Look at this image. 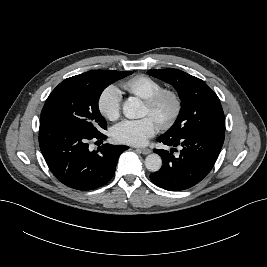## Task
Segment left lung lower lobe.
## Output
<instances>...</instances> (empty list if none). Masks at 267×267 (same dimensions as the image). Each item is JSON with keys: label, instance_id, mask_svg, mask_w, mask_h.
Segmentation results:
<instances>
[{"label": "left lung lower lobe", "instance_id": "1", "mask_svg": "<svg viewBox=\"0 0 267 267\" xmlns=\"http://www.w3.org/2000/svg\"><path fill=\"white\" fill-rule=\"evenodd\" d=\"M225 132H202L170 139L160 136L157 141L182 150L175 157L166 150L155 149L162 157L161 169L150 175L151 181L169 191H181L199 183L213 168L224 142Z\"/></svg>", "mask_w": 267, "mask_h": 267}]
</instances>
